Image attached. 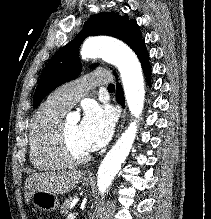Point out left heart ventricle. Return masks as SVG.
<instances>
[{
    "instance_id": "obj_1",
    "label": "left heart ventricle",
    "mask_w": 211,
    "mask_h": 219,
    "mask_svg": "<svg viewBox=\"0 0 211 219\" xmlns=\"http://www.w3.org/2000/svg\"><path fill=\"white\" fill-rule=\"evenodd\" d=\"M65 127L73 149L80 154L87 153L88 151L85 149L80 139L79 122L77 121L66 122Z\"/></svg>"
}]
</instances>
